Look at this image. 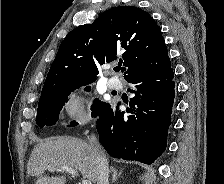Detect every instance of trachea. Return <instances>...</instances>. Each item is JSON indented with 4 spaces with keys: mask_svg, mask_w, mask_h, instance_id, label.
Returning a JSON list of instances; mask_svg holds the SVG:
<instances>
[{
    "mask_svg": "<svg viewBox=\"0 0 224 184\" xmlns=\"http://www.w3.org/2000/svg\"><path fill=\"white\" fill-rule=\"evenodd\" d=\"M114 70L115 71H120V70L123 71V68L121 66H118V67H115Z\"/></svg>",
    "mask_w": 224,
    "mask_h": 184,
    "instance_id": "trachea-1",
    "label": "trachea"
}]
</instances>
